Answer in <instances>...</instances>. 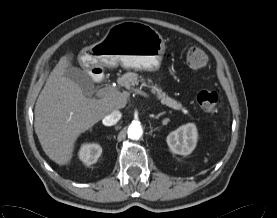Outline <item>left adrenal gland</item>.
<instances>
[{
	"label": "left adrenal gland",
	"instance_id": "left-adrenal-gland-1",
	"mask_svg": "<svg viewBox=\"0 0 277 218\" xmlns=\"http://www.w3.org/2000/svg\"><path fill=\"white\" fill-rule=\"evenodd\" d=\"M164 114H165V112H161V113H159L157 116H155L154 118H155V119H159V117L162 116V115H164ZM165 121H167V120H165Z\"/></svg>",
	"mask_w": 277,
	"mask_h": 218
}]
</instances>
